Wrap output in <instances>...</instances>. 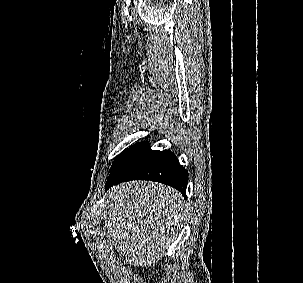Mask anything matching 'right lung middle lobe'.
I'll return each mask as SVG.
<instances>
[{
  "label": "right lung middle lobe",
  "instance_id": "right-lung-middle-lobe-1",
  "mask_svg": "<svg viewBox=\"0 0 303 283\" xmlns=\"http://www.w3.org/2000/svg\"><path fill=\"white\" fill-rule=\"evenodd\" d=\"M128 150V149H127ZM127 150H124L117 158L116 160L113 162V165L111 167V169L120 161V159L123 157V155L126 153Z\"/></svg>",
  "mask_w": 303,
  "mask_h": 283
}]
</instances>
